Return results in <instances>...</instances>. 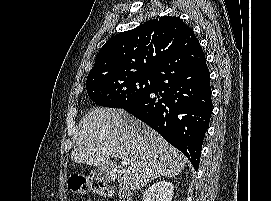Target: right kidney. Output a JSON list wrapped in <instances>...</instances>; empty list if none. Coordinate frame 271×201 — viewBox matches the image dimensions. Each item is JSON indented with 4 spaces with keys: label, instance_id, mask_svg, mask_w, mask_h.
<instances>
[{
    "label": "right kidney",
    "instance_id": "right-kidney-1",
    "mask_svg": "<svg viewBox=\"0 0 271 201\" xmlns=\"http://www.w3.org/2000/svg\"><path fill=\"white\" fill-rule=\"evenodd\" d=\"M174 187L167 181L152 184L143 194V201H172Z\"/></svg>",
    "mask_w": 271,
    "mask_h": 201
}]
</instances>
